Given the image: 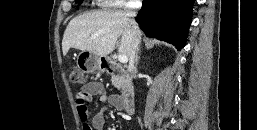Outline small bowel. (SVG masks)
<instances>
[{"label":"small bowel","mask_w":257,"mask_h":130,"mask_svg":"<svg viewBox=\"0 0 257 130\" xmlns=\"http://www.w3.org/2000/svg\"><path fill=\"white\" fill-rule=\"evenodd\" d=\"M93 96H98L101 102H108L116 108L121 107V97L108 95L104 86L99 82H89L79 90L75 96L78 115L82 121L83 130H103L106 121V109L103 108L89 119L88 103Z\"/></svg>","instance_id":"obj_1"}]
</instances>
